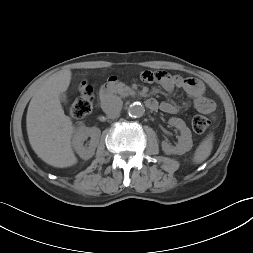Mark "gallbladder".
<instances>
[{"label":"gallbladder","mask_w":253,"mask_h":253,"mask_svg":"<svg viewBox=\"0 0 253 253\" xmlns=\"http://www.w3.org/2000/svg\"><path fill=\"white\" fill-rule=\"evenodd\" d=\"M59 100H60L61 103L66 104V102H67L66 95L64 93H61L60 96H59Z\"/></svg>","instance_id":"obj_1"}]
</instances>
